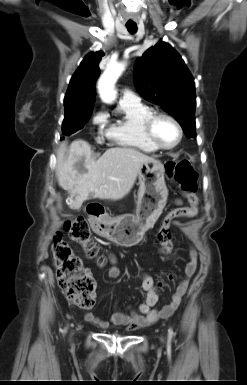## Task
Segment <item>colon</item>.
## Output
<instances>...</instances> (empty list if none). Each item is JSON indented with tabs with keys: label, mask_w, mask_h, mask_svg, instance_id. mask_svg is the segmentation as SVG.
Returning <instances> with one entry per match:
<instances>
[{
	"label": "colon",
	"mask_w": 247,
	"mask_h": 385,
	"mask_svg": "<svg viewBox=\"0 0 247 385\" xmlns=\"http://www.w3.org/2000/svg\"><path fill=\"white\" fill-rule=\"evenodd\" d=\"M166 175L173 180L187 196L189 202L195 201L197 190V172L189 160L169 161L165 164ZM185 210L176 208L170 211L158 231V240L163 252H170L172 243L171 224L182 217ZM63 232L82 245L88 258L94 259L100 266L105 258L92 239L90 229L84 218L78 216L68 219L63 224ZM52 254L56 268V277L65 296L82 309H91L95 304L96 282L91 273L83 266L82 260L74 254L71 247L59 233L54 237Z\"/></svg>",
	"instance_id": "5ec220e1"
}]
</instances>
